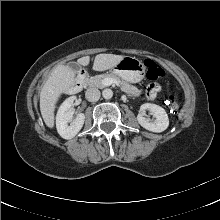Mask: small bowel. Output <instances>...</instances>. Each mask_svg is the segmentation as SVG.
<instances>
[{
	"label": "small bowel",
	"instance_id": "obj_1",
	"mask_svg": "<svg viewBox=\"0 0 220 220\" xmlns=\"http://www.w3.org/2000/svg\"><path fill=\"white\" fill-rule=\"evenodd\" d=\"M159 90H160V87L158 85H156L155 83H150L147 86L146 96L149 99H154L157 96Z\"/></svg>",
	"mask_w": 220,
	"mask_h": 220
}]
</instances>
